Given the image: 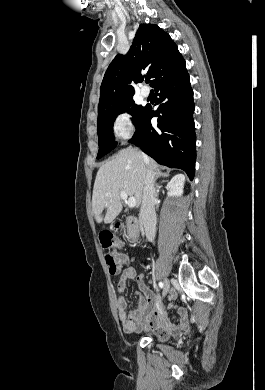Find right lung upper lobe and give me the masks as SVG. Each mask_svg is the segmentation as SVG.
Masks as SVG:
<instances>
[{
    "label": "right lung upper lobe",
    "instance_id": "obj_1",
    "mask_svg": "<svg viewBox=\"0 0 265 390\" xmlns=\"http://www.w3.org/2000/svg\"><path fill=\"white\" fill-rule=\"evenodd\" d=\"M184 61L169 34L157 25L141 24L132 46L126 55L118 54L104 75L98 114L133 99L134 89L130 85L143 80L147 73L155 84Z\"/></svg>",
    "mask_w": 265,
    "mask_h": 390
}]
</instances>
